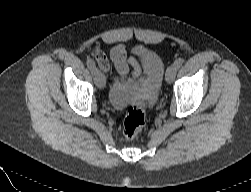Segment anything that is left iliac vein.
<instances>
[{
  "label": "left iliac vein",
  "instance_id": "4c4485c4",
  "mask_svg": "<svg viewBox=\"0 0 251 192\" xmlns=\"http://www.w3.org/2000/svg\"><path fill=\"white\" fill-rule=\"evenodd\" d=\"M177 73V67L175 65H171L168 67L167 72H166V81L168 83H172L173 80L175 79Z\"/></svg>",
  "mask_w": 251,
  "mask_h": 192
}]
</instances>
